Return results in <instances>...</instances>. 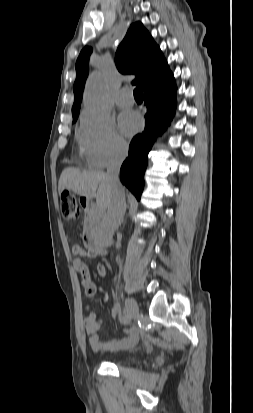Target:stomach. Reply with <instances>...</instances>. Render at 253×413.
<instances>
[{
	"mask_svg": "<svg viewBox=\"0 0 253 413\" xmlns=\"http://www.w3.org/2000/svg\"><path fill=\"white\" fill-rule=\"evenodd\" d=\"M80 200H81V202H82L83 204H86V205H87V204L89 203V199L86 198V197H81Z\"/></svg>",
	"mask_w": 253,
	"mask_h": 413,
	"instance_id": "1",
	"label": "stomach"
}]
</instances>
